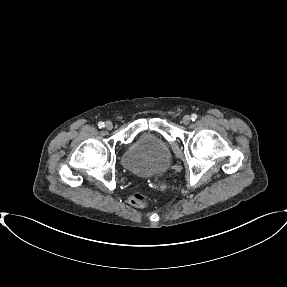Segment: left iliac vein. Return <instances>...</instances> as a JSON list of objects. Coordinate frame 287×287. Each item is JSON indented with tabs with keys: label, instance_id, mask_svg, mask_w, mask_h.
<instances>
[{
	"label": "left iliac vein",
	"instance_id": "left-iliac-vein-1",
	"mask_svg": "<svg viewBox=\"0 0 287 287\" xmlns=\"http://www.w3.org/2000/svg\"><path fill=\"white\" fill-rule=\"evenodd\" d=\"M190 121H191V117H190L189 115H185V116L183 117V123H184L185 125H188V124L190 123Z\"/></svg>",
	"mask_w": 287,
	"mask_h": 287
}]
</instances>
